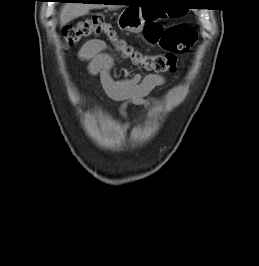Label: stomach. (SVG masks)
I'll return each instance as SVG.
<instances>
[{"instance_id": "1", "label": "stomach", "mask_w": 259, "mask_h": 266, "mask_svg": "<svg viewBox=\"0 0 259 266\" xmlns=\"http://www.w3.org/2000/svg\"><path fill=\"white\" fill-rule=\"evenodd\" d=\"M118 26L121 30L137 33L143 29V21L140 12L134 8L125 9L118 18Z\"/></svg>"}]
</instances>
